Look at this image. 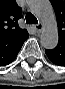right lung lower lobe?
Returning a JSON list of instances; mask_svg holds the SVG:
<instances>
[{
    "label": "right lung lower lobe",
    "mask_w": 65,
    "mask_h": 89,
    "mask_svg": "<svg viewBox=\"0 0 65 89\" xmlns=\"http://www.w3.org/2000/svg\"><path fill=\"white\" fill-rule=\"evenodd\" d=\"M23 43L24 41L18 44L17 46L11 48L10 50L5 51V50L0 49V66H5L11 63L17 56Z\"/></svg>",
    "instance_id": "1"
}]
</instances>
